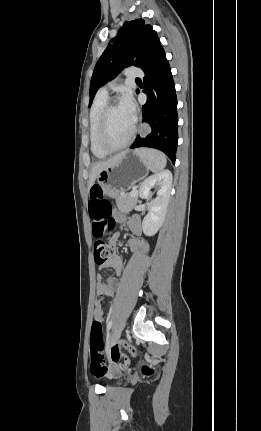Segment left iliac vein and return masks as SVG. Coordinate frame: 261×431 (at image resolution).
<instances>
[{"instance_id": "obj_1", "label": "left iliac vein", "mask_w": 261, "mask_h": 431, "mask_svg": "<svg viewBox=\"0 0 261 431\" xmlns=\"http://www.w3.org/2000/svg\"><path fill=\"white\" fill-rule=\"evenodd\" d=\"M123 328H124L123 324H120V325H118L117 327L114 328V330H113V332H112V334L110 336V341H109L110 345H112V344H114V343L117 342V340L119 339V337H120V335H121V333L123 331Z\"/></svg>"}]
</instances>
